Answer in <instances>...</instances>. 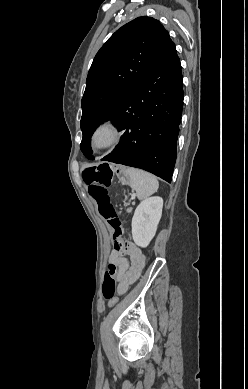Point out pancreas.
Segmentation results:
<instances>
[{"label": "pancreas", "instance_id": "obj_1", "mask_svg": "<svg viewBox=\"0 0 248 389\" xmlns=\"http://www.w3.org/2000/svg\"><path fill=\"white\" fill-rule=\"evenodd\" d=\"M131 210H132V209H131V208H129V209L127 210V212H131Z\"/></svg>", "mask_w": 248, "mask_h": 389}]
</instances>
